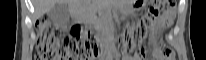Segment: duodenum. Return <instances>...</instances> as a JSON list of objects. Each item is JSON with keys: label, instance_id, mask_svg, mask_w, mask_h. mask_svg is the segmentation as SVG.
I'll list each match as a JSON object with an SVG mask.
<instances>
[{"label": "duodenum", "instance_id": "410a0bca", "mask_svg": "<svg viewBox=\"0 0 206 60\" xmlns=\"http://www.w3.org/2000/svg\"><path fill=\"white\" fill-rule=\"evenodd\" d=\"M103 33H107V30H103ZM103 35V34H102Z\"/></svg>", "mask_w": 206, "mask_h": 60}]
</instances>
